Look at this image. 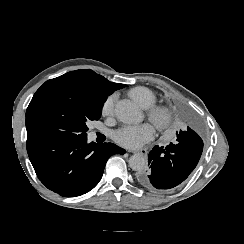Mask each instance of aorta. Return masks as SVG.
Wrapping results in <instances>:
<instances>
[{"mask_svg":"<svg viewBox=\"0 0 244 244\" xmlns=\"http://www.w3.org/2000/svg\"><path fill=\"white\" fill-rule=\"evenodd\" d=\"M116 117L125 124H137L142 121V112L130 100H120L115 106ZM129 166L134 171H143L147 167V159L141 154L129 158Z\"/></svg>","mask_w":244,"mask_h":244,"instance_id":"762f6f07","label":"aorta"}]
</instances>
